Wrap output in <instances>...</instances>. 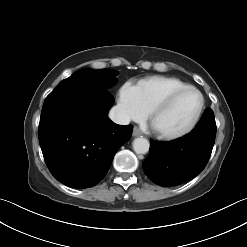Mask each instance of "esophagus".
I'll list each match as a JSON object with an SVG mask.
<instances>
[{"mask_svg":"<svg viewBox=\"0 0 247 247\" xmlns=\"http://www.w3.org/2000/svg\"><path fill=\"white\" fill-rule=\"evenodd\" d=\"M142 132L138 127H134L133 129V136L137 137V136H141Z\"/></svg>","mask_w":247,"mask_h":247,"instance_id":"34e87169","label":"esophagus"}]
</instances>
